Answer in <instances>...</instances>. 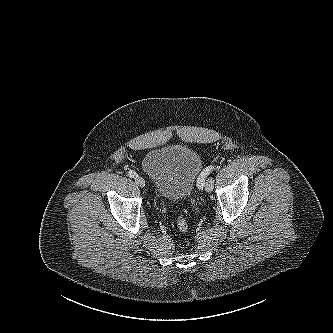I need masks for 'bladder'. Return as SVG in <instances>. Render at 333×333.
I'll use <instances>...</instances> for the list:
<instances>
[{
  "label": "bladder",
  "instance_id": "obj_1",
  "mask_svg": "<svg viewBox=\"0 0 333 333\" xmlns=\"http://www.w3.org/2000/svg\"><path fill=\"white\" fill-rule=\"evenodd\" d=\"M142 167L161 198L181 201L191 196L202 169V160L189 147L169 145L147 152Z\"/></svg>",
  "mask_w": 333,
  "mask_h": 333
}]
</instances>
